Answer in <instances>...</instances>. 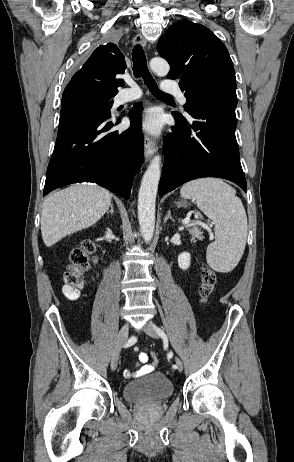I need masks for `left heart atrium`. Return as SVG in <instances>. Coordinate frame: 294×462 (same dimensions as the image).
<instances>
[{"mask_svg":"<svg viewBox=\"0 0 294 462\" xmlns=\"http://www.w3.org/2000/svg\"><path fill=\"white\" fill-rule=\"evenodd\" d=\"M141 125L147 132L158 134L161 130V121L158 113L154 110L147 111L142 118Z\"/></svg>","mask_w":294,"mask_h":462,"instance_id":"left-heart-atrium-1","label":"left heart atrium"}]
</instances>
